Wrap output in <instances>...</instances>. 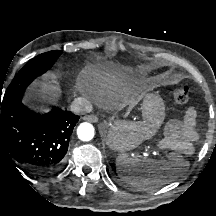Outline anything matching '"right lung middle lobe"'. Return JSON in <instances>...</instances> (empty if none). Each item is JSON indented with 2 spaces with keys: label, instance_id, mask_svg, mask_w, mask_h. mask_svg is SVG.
<instances>
[{
  "label": "right lung middle lobe",
  "instance_id": "obj_1",
  "mask_svg": "<svg viewBox=\"0 0 216 216\" xmlns=\"http://www.w3.org/2000/svg\"><path fill=\"white\" fill-rule=\"evenodd\" d=\"M60 54L61 51H49L31 59L14 77L4 96H2V101L23 93L37 76L46 72L54 64Z\"/></svg>",
  "mask_w": 216,
  "mask_h": 216
}]
</instances>
